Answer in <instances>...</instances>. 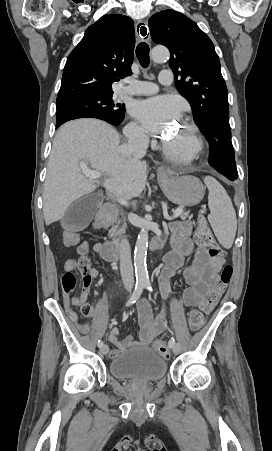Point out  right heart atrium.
<instances>
[{"mask_svg":"<svg viewBox=\"0 0 272 451\" xmlns=\"http://www.w3.org/2000/svg\"><path fill=\"white\" fill-rule=\"evenodd\" d=\"M129 133L132 137H139L143 134V130L138 123L131 122L129 124Z\"/></svg>","mask_w":272,"mask_h":451,"instance_id":"obj_1","label":"right heart atrium"}]
</instances>
